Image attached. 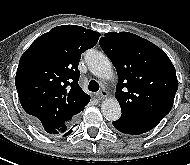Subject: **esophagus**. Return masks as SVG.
Returning a JSON list of instances; mask_svg holds the SVG:
<instances>
[{"label": "esophagus", "mask_w": 190, "mask_h": 165, "mask_svg": "<svg viewBox=\"0 0 190 165\" xmlns=\"http://www.w3.org/2000/svg\"><path fill=\"white\" fill-rule=\"evenodd\" d=\"M97 97L99 100H103L108 97V92L106 90H101L98 94Z\"/></svg>", "instance_id": "1"}]
</instances>
